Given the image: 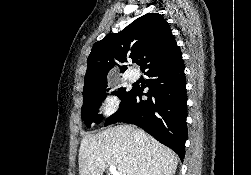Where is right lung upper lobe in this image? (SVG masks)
I'll return each mask as SVG.
<instances>
[{
	"mask_svg": "<svg viewBox=\"0 0 251 175\" xmlns=\"http://www.w3.org/2000/svg\"><path fill=\"white\" fill-rule=\"evenodd\" d=\"M182 57L169 23L158 13L137 18L118 33L93 45L87 59L84 88L107 85V74L118 62L140 60L143 71L165 66ZM139 62V61H137ZM127 66H120L123 73Z\"/></svg>",
	"mask_w": 251,
	"mask_h": 175,
	"instance_id": "right-lung-upper-lobe-1",
	"label": "right lung upper lobe"
}]
</instances>
